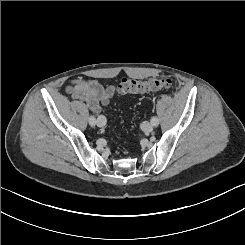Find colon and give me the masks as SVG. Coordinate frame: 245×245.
<instances>
[{"mask_svg":"<svg viewBox=\"0 0 245 245\" xmlns=\"http://www.w3.org/2000/svg\"><path fill=\"white\" fill-rule=\"evenodd\" d=\"M172 81L167 76L153 77L147 80L124 78L118 85V92L123 95L142 94L169 88Z\"/></svg>","mask_w":245,"mask_h":245,"instance_id":"colon-1","label":"colon"}]
</instances>
